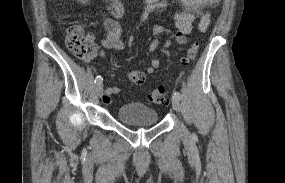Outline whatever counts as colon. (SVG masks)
<instances>
[{
  "label": "colon",
  "instance_id": "5ec220e1",
  "mask_svg": "<svg viewBox=\"0 0 285 183\" xmlns=\"http://www.w3.org/2000/svg\"><path fill=\"white\" fill-rule=\"evenodd\" d=\"M91 35L86 34L81 25L68 27L66 34V45L68 50L78 58H84L89 53ZM199 46L192 43L187 49V56L184 58L186 64L193 61L198 54ZM149 100L155 104H165L169 100V95L164 87H159L149 94Z\"/></svg>",
  "mask_w": 285,
  "mask_h": 183
}]
</instances>
